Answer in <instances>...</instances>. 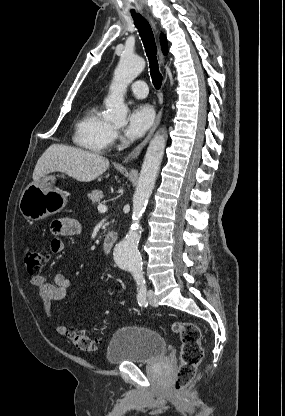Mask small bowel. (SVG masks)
<instances>
[{
    "label": "small bowel",
    "mask_w": 285,
    "mask_h": 416,
    "mask_svg": "<svg viewBox=\"0 0 285 416\" xmlns=\"http://www.w3.org/2000/svg\"><path fill=\"white\" fill-rule=\"evenodd\" d=\"M51 233L53 238L50 242V251L53 254H59L64 250L62 237L77 235L81 232V224L78 220L71 217H64L53 221L51 224ZM32 285L38 290V295L47 316L55 329L60 335H67L68 329L59 324L51 313L52 302L63 299L71 285L70 279L62 274L54 275L52 282L47 281L43 275L33 276Z\"/></svg>",
    "instance_id": "obj_1"
}]
</instances>
